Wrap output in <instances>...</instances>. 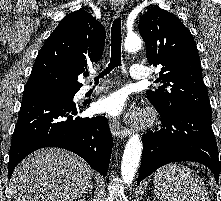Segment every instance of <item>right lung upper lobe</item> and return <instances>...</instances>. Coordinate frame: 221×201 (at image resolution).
Listing matches in <instances>:
<instances>
[{"label":"right lung upper lobe","instance_id":"1","mask_svg":"<svg viewBox=\"0 0 221 201\" xmlns=\"http://www.w3.org/2000/svg\"><path fill=\"white\" fill-rule=\"evenodd\" d=\"M105 29L88 12L65 16L40 49L25 86L79 90L78 76L102 56Z\"/></svg>","mask_w":221,"mask_h":201}]
</instances>
